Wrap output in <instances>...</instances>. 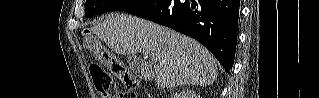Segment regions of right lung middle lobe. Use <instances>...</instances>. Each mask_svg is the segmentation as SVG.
Segmentation results:
<instances>
[{"instance_id": "right-lung-middle-lobe-1", "label": "right lung middle lobe", "mask_w": 319, "mask_h": 98, "mask_svg": "<svg viewBox=\"0 0 319 98\" xmlns=\"http://www.w3.org/2000/svg\"><path fill=\"white\" fill-rule=\"evenodd\" d=\"M148 0H86V17L113 10L128 11L144 5Z\"/></svg>"}]
</instances>
